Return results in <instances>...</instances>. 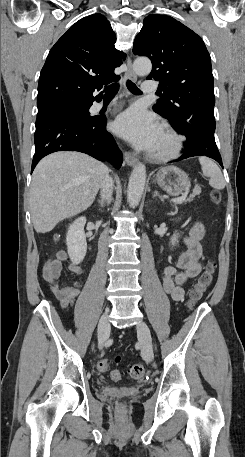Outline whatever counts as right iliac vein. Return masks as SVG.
I'll return each mask as SVG.
<instances>
[{
  "mask_svg": "<svg viewBox=\"0 0 245 457\" xmlns=\"http://www.w3.org/2000/svg\"><path fill=\"white\" fill-rule=\"evenodd\" d=\"M108 319V311H106L98 324V344L101 349L104 347L110 334V325Z\"/></svg>",
  "mask_w": 245,
  "mask_h": 457,
  "instance_id": "1",
  "label": "right iliac vein"
}]
</instances>
